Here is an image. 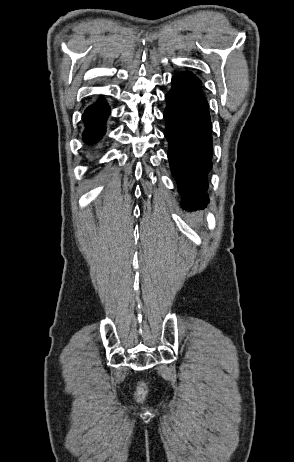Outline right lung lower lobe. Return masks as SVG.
Wrapping results in <instances>:
<instances>
[{
	"instance_id": "98d812e1",
	"label": "right lung lower lobe",
	"mask_w": 294,
	"mask_h": 462,
	"mask_svg": "<svg viewBox=\"0 0 294 462\" xmlns=\"http://www.w3.org/2000/svg\"><path fill=\"white\" fill-rule=\"evenodd\" d=\"M109 114L110 108L103 100H98L85 110L83 121L86 129L83 138L86 143L93 144L105 134V121Z\"/></svg>"
}]
</instances>
